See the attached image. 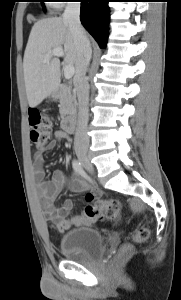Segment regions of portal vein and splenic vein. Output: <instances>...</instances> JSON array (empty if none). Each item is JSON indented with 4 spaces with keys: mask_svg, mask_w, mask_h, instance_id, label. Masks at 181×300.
Here are the masks:
<instances>
[{
    "mask_svg": "<svg viewBox=\"0 0 181 300\" xmlns=\"http://www.w3.org/2000/svg\"><path fill=\"white\" fill-rule=\"evenodd\" d=\"M52 56H55V57H63V56H64V51H63V49H62V48H55V49H53L50 53H48V54L45 56L44 61H45V62L49 61L50 58H51ZM74 73H75V68H74V66H72V65H66V66L64 67V77H65L66 79L72 78L73 75H74Z\"/></svg>",
    "mask_w": 181,
    "mask_h": 300,
    "instance_id": "portal-vein-and-splenic-vein-1",
    "label": "portal vein and splenic vein"
}]
</instances>
